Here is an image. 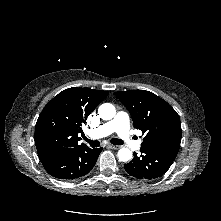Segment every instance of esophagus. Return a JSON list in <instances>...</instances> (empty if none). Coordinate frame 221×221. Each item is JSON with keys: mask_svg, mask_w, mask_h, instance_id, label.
Returning a JSON list of instances; mask_svg holds the SVG:
<instances>
[{"mask_svg": "<svg viewBox=\"0 0 221 221\" xmlns=\"http://www.w3.org/2000/svg\"><path fill=\"white\" fill-rule=\"evenodd\" d=\"M107 146H108L109 148H111V149H118V148H120V146L113 145V144H108Z\"/></svg>", "mask_w": 221, "mask_h": 221, "instance_id": "esophagus-1", "label": "esophagus"}]
</instances>
